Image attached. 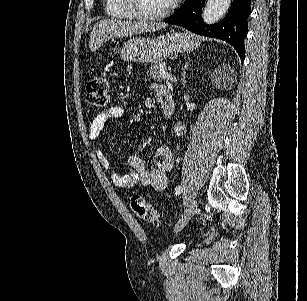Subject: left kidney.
<instances>
[{"label":"left kidney","mask_w":307,"mask_h":301,"mask_svg":"<svg viewBox=\"0 0 307 301\" xmlns=\"http://www.w3.org/2000/svg\"><path fill=\"white\" fill-rule=\"evenodd\" d=\"M224 68H227L228 72H225V74H233L234 70L233 68H231V66H229V64H223ZM222 66H219V68H216L215 72H213V82H217L215 76H218V74H220V70H221ZM222 76H224L223 72H221ZM225 84H227V82H224V80H222V82H219L218 86H225Z\"/></svg>","instance_id":"5707ae66"}]
</instances>
